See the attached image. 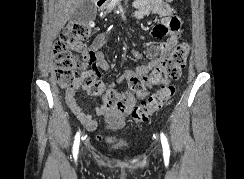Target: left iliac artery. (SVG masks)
<instances>
[{
    "label": "left iliac artery",
    "mask_w": 244,
    "mask_h": 179,
    "mask_svg": "<svg viewBox=\"0 0 244 179\" xmlns=\"http://www.w3.org/2000/svg\"><path fill=\"white\" fill-rule=\"evenodd\" d=\"M161 143H162V147H163L164 156L169 157L170 156L169 144H168L167 139L163 133H161Z\"/></svg>",
    "instance_id": "left-iliac-artery-1"
}]
</instances>
